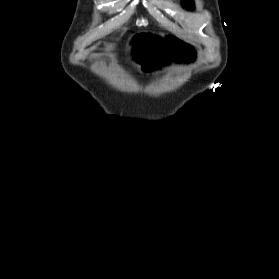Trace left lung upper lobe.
<instances>
[{
	"instance_id": "1",
	"label": "left lung upper lobe",
	"mask_w": 279,
	"mask_h": 279,
	"mask_svg": "<svg viewBox=\"0 0 279 279\" xmlns=\"http://www.w3.org/2000/svg\"><path fill=\"white\" fill-rule=\"evenodd\" d=\"M183 6H184V7L188 6V8H194V3H193V2L185 1V2L183 3Z\"/></svg>"
}]
</instances>
